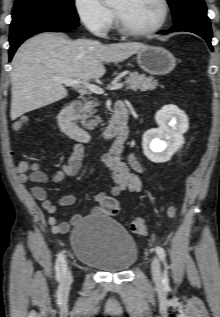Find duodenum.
Segmentation results:
<instances>
[{
    "mask_svg": "<svg viewBox=\"0 0 220 317\" xmlns=\"http://www.w3.org/2000/svg\"><path fill=\"white\" fill-rule=\"evenodd\" d=\"M76 106L77 102L74 100L68 101L61 106L57 116L58 127L62 132L78 142L89 143L93 140V136L74 121V110ZM127 120L128 110L123 101H118L114 106L109 124L99 137L104 140L112 139L115 145L123 146L129 137Z\"/></svg>",
    "mask_w": 220,
    "mask_h": 317,
    "instance_id": "obj_1",
    "label": "duodenum"
}]
</instances>
